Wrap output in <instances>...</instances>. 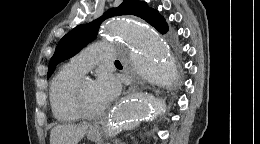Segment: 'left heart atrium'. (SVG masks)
Here are the masks:
<instances>
[{
  "instance_id": "left-heart-atrium-1",
  "label": "left heart atrium",
  "mask_w": 260,
  "mask_h": 144,
  "mask_svg": "<svg viewBox=\"0 0 260 144\" xmlns=\"http://www.w3.org/2000/svg\"><path fill=\"white\" fill-rule=\"evenodd\" d=\"M95 90L102 105L106 106L119 94L120 83L114 75L104 72L95 82Z\"/></svg>"
}]
</instances>
